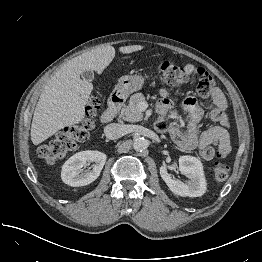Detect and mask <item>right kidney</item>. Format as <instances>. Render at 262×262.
<instances>
[{
    "instance_id": "right-kidney-1",
    "label": "right kidney",
    "mask_w": 262,
    "mask_h": 262,
    "mask_svg": "<svg viewBox=\"0 0 262 262\" xmlns=\"http://www.w3.org/2000/svg\"><path fill=\"white\" fill-rule=\"evenodd\" d=\"M106 159L107 156L103 152L93 150L78 152L62 166V181L73 187L88 185L99 177ZM87 162H94L93 169L83 173V168Z\"/></svg>"
}]
</instances>
